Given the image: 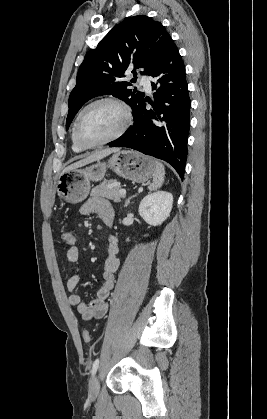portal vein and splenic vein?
Wrapping results in <instances>:
<instances>
[{
	"mask_svg": "<svg viewBox=\"0 0 267 419\" xmlns=\"http://www.w3.org/2000/svg\"><path fill=\"white\" fill-rule=\"evenodd\" d=\"M119 194L120 195H122V196H125L126 195V190L125 189H119Z\"/></svg>",
	"mask_w": 267,
	"mask_h": 419,
	"instance_id": "portal-vein-and-splenic-vein-1",
	"label": "portal vein and splenic vein"
}]
</instances>
